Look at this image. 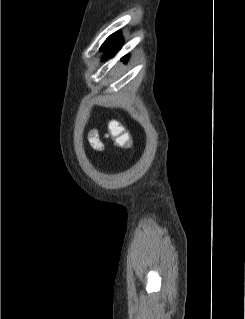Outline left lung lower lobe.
Segmentation results:
<instances>
[{"instance_id": "obj_1", "label": "left lung lower lobe", "mask_w": 245, "mask_h": 319, "mask_svg": "<svg viewBox=\"0 0 245 319\" xmlns=\"http://www.w3.org/2000/svg\"><path fill=\"white\" fill-rule=\"evenodd\" d=\"M121 45H122V40H121V38H120L119 42L117 43V45H116L113 49H111V50H109V51H106V52H107V56H108V57L113 56L114 53H115L117 50L120 49ZM127 59H128V56H125V57H123L121 60L126 61Z\"/></svg>"}]
</instances>
